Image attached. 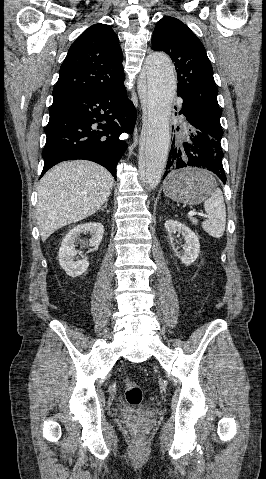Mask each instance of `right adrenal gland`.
Wrapping results in <instances>:
<instances>
[{"instance_id": "1", "label": "right adrenal gland", "mask_w": 266, "mask_h": 479, "mask_svg": "<svg viewBox=\"0 0 266 479\" xmlns=\"http://www.w3.org/2000/svg\"><path fill=\"white\" fill-rule=\"evenodd\" d=\"M107 207V201L105 202L104 206L101 207V211H104V209Z\"/></svg>"}]
</instances>
